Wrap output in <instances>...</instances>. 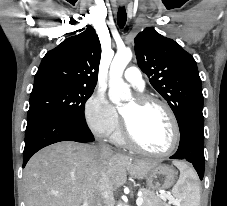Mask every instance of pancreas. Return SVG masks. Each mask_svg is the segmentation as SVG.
Segmentation results:
<instances>
[{
	"label": "pancreas",
	"mask_w": 227,
	"mask_h": 206,
	"mask_svg": "<svg viewBox=\"0 0 227 206\" xmlns=\"http://www.w3.org/2000/svg\"><path fill=\"white\" fill-rule=\"evenodd\" d=\"M140 192L142 193L143 198L142 206H170L164 201L161 195L150 189L142 188L140 189Z\"/></svg>",
	"instance_id": "pancreas-1"
}]
</instances>
